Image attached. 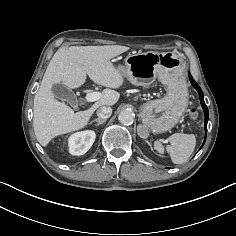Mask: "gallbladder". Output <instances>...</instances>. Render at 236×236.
<instances>
[{
  "label": "gallbladder",
  "mask_w": 236,
  "mask_h": 236,
  "mask_svg": "<svg viewBox=\"0 0 236 236\" xmlns=\"http://www.w3.org/2000/svg\"><path fill=\"white\" fill-rule=\"evenodd\" d=\"M52 93L56 98L66 101L73 107H76L78 104L75 93L67 88L63 83L54 84L52 86Z\"/></svg>",
  "instance_id": "1"
}]
</instances>
